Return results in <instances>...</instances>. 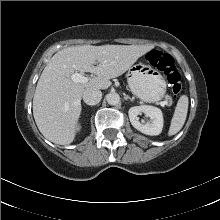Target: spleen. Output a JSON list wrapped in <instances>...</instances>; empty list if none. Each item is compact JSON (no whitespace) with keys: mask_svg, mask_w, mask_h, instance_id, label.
Returning <instances> with one entry per match:
<instances>
[{"mask_svg":"<svg viewBox=\"0 0 220 220\" xmlns=\"http://www.w3.org/2000/svg\"><path fill=\"white\" fill-rule=\"evenodd\" d=\"M189 99L187 95H182L175 107L173 117L171 119V124L168 131V136H173L177 134L183 127L187 112H188Z\"/></svg>","mask_w":220,"mask_h":220,"instance_id":"spleen-1","label":"spleen"}]
</instances>
